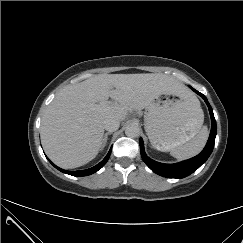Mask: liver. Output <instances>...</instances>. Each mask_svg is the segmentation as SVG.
Returning a JSON list of instances; mask_svg holds the SVG:
<instances>
[{
	"instance_id": "obj_1",
	"label": "liver",
	"mask_w": 243,
	"mask_h": 243,
	"mask_svg": "<svg viewBox=\"0 0 243 243\" xmlns=\"http://www.w3.org/2000/svg\"><path fill=\"white\" fill-rule=\"evenodd\" d=\"M190 93L176 79L160 73L99 74L59 91L41 123L47 156L58 166L71 169L96 157L102 147L104 121H123L132 110L147 108L158 96ZM111 97L117 103L98 110L97 103Z\"/></svg>"
}]
</instances>
